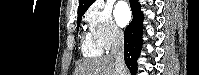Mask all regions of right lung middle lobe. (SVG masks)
I'll return each instance as SVG.
<instances>
[{
    "label": "right lung middle lobe",
    "mask_w": 199,
    "mask_h": 75,
    "mask_svg": "<svg viewBox=\"0 0 199 75\" xmlns=\"http://www.w3.org/2000/svg\"><path fill=\"white\" fill-rule=\"evenodd\" d=\"M81 19H82V16H78V19H77V30H78V27L80 25Z\"/></svg>",
    "instance_id": "right-lung-middle-lobe-1"
}]
</instances>
